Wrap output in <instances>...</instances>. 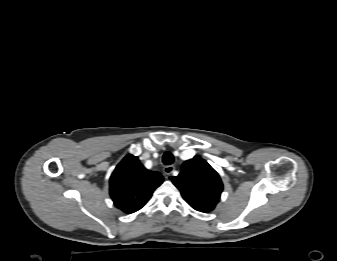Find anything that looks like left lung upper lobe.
Returning a JSON list of instances; mask_svg holds the SVG:
<instances>
[{"mask_svg": "<svg viewBox=\"0 0 337 261\" xmlns=\"http://www.w3.org/2000/svg\"><path fill=\"white\" fill-rule=\"evenodd\" d=\"M170 179L184 200L193 209L204 213L215 208L223 190L218 173L199 156L185 161L181 173Z\"/></svg>", "mask_w": 337, "mask_h": 261, "instance_id": "5c2ea615", "label": "left lung upper lobe"}]
</instances>
